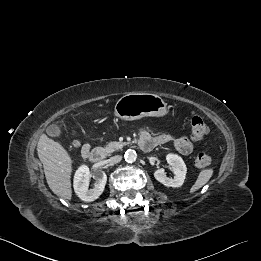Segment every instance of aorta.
<instances>
[{"instance_id":"obj_1","label":"aorta","mask_w":261,"mask_h":261,"mask_svg":"<svg viewBox=\"0 0 261 261\" xmlns=\"http://www.w3.org/2000/svg\"><path fill=\"white\" fill-rule=\"evenodd\" d=\"M125 160L129 163H132L134 162L136 159H137V154L134 150L132 149H128L126 152H125Z\"/></svg>"}]
</instances>
